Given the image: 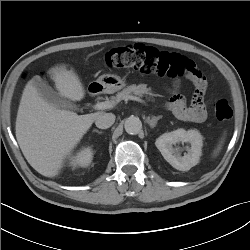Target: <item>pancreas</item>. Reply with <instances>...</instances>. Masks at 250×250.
Returning a JSON list of instances; mask_svg holds the SVG:
<instances>
[{
  "instance_id": "obj_1",
  "label": "pancreas",
  "mask_w": 250,
  "mask_h": 250,
  "mask_svg": "<svg viewBox=\"0 0 250 250\" xmlns=\"http://www.w3.org/2000/svg\"><path fill=\"white\" fill-rule=\"evenodd\" d=\"M131 94H135L138 96L149 95V100H153L154 93H152L151 88H148L146 84H139V85H130L124 88L121 92L116 94L115 100L120 102L121 100L126 99Z\"/></svg>"
}]
</instances>
